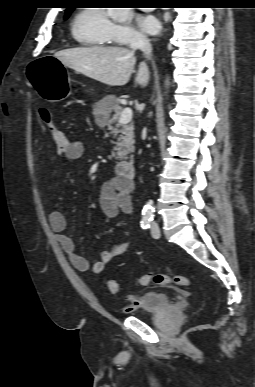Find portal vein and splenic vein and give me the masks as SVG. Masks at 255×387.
<instances>
[{"instance_id":"1","label":"portal vein and splenic vein","mask_w":255,"mask_h":387,"mask_svg":"<svg viewBox=\"0 0 255 387\" xmlns=\"http://www.w3.org/2000/svg\"><path fill=\"white\" fill-rule=\"evenodd\" d=\"M133 112L130 107L124 108L119 118L118 124H127L132 120Z\"/></svg>"}]
</instances>
